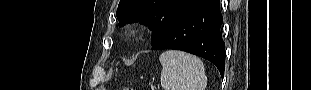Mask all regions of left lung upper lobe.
<instances>
[{
	"label": "left lung upper lobe",
	"mask_w": 311,
	"mask_h": 90,
	"mask_svg": "<svg viewBox=\"0 0 311 90\" xmlns=\"http://www.w3.org/2000/svg\"><path fill=\"white\" fill-rule=\"evenodd\" d=\"M200 0H120L117 8L119 26L127 22L148 25L153 31L152 46L167 33L175 20Z\"/></svg>",
	"instance_id": "obj_1"
}]
</instances>
